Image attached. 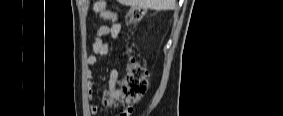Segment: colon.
<instances>
[{"label": "colon", "mask_w": 283, "mask_h": 116, "mask_svg": "<svg viewBox=\"0 0 283 116\" xmlns=\"http://www.w3.org/2000/svg\"><path fill=\"white\" fill-rule=\"evenodd\" d=\"M144 17V9L139 6H131L126 12V23L136 25ZM147 90V70L144 63L132 57L128 65L127 74L122 86L116 92H106L103 97L106 106H112L116 102L126 105L128 108L121 114L122 116L130 115L131 105L137 102Z\"/></svg>", "instance_id": "colon-1"}]
</instances>
